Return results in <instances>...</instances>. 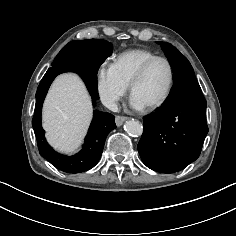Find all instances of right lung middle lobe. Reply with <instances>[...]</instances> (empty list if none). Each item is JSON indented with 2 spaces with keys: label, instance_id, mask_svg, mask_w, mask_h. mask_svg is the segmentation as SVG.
Listing matches in <instances>:
<instances>
[{
  "label": "right lung middle lobe",
  "instance_id": "obj_1",
  "mask_svg": "<svg viewBox=\"0 0 236 236\" xmlns=\"http://www.w3.org/2000/svg\"><path fill=\"white\" fill-rule=\"evenodd\" d=\"M99 42H101L103 45L105 46H112L111 43L105 41V40H98ZM59 61V54L57 55V57L55 58L54 62L52 63L53 64H57V62Z\"/></svg>",
  "mask_w": 236,
  "mask_h": 236
}]
</instances>
